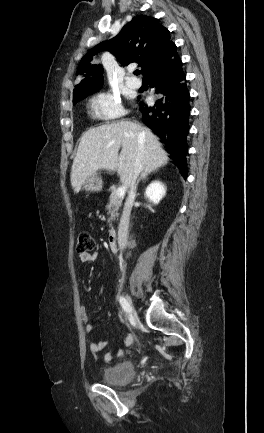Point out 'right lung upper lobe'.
Instances as JSON below:
<instances>
[{
	"instance_id": "right-lung-upper-lobe-1",
	"label": "right lung upper lobe",
	"mask_w": 264,
	"mask_h": 433,
	"mask_svg": "<svg viewBox=\"0 0 264 433\" xmlns=\"http://www.w3.org/2000/svg\"><path fill=\"white\" fill-rule=\"evenodd\" d=\"M101 51L111 52L122 65L134 61L140 63L144 76L177 55V47L170 41L168 29L156 18L138 15L116 37L97 45L82 58L77 72L81 82L75 86L73 101L102 86V67L90 63L92 57Z\"/></svg>"
}]
</instances>
